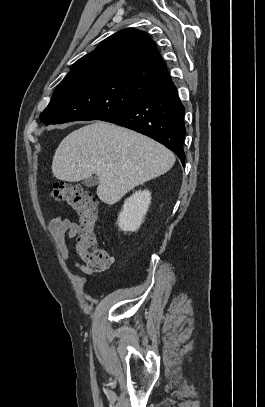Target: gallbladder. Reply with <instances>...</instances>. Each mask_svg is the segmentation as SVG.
<instances>
[{
  "instance_id": "obj_1",
  "label": "gallbladder",
  "mask_w": 265,
  "mask_h": 407,
  "mask_svg": "<svg viewBox=\"0 0 265 407\" xmlns=\"http://www.w3.org/2000/svg\"><path fill=\"white\" fill-rule=\"evenodd\" d=\"M82 183L87 187H93L98 184V178L89 177V178L84 179Z\"/></svg>"
}]
</instances>
